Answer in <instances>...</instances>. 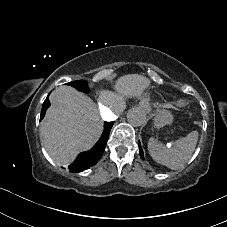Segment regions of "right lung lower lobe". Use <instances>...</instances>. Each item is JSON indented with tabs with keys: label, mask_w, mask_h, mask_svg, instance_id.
Instances as JSON below:
<instances>
[{
	"label": "right lung lower lobe",
	"mask_w": 227,
	"mask_h": 227,
	"mask_svg": "<svg viewBox=\"0 0 227 227\" xmlns=\"http://www.w3.org/2000/svg\"><path fill=\"white\" fill-rule=\"evenodd\" d=\"M47 100H48V97H47ZM49 106H50V102H49ZM47 109L48 107L46 109H42L40 119H43ZM113 123L114 122L104 123V131L99 141L93 146L92 149L86 152H82L77 156L75 161L71 165H69V170L71 172H74V173L80 172L84 169H87L95 165L99 161V159L101 158L105 150L106 143L108 141L109 133L113 126Z\"/></svg>",
	"instance_id": "1"
}]
</instances>
